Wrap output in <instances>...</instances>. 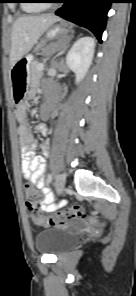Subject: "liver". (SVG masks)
I'll return each mask as SVG.
<instances>
[{
  "label": "liver",
  "mask_w": 136,
  "mask_h": 296,
  "mask_svg": "<svg viewBox=\"0 0 136 296\" xmlns=\"http://www.w3.org/2000/svg\"><path fill=\"white\" fill-rule=\"evenodd\" d=\"M59 17L52 14L23 15L16 19L11 33L10 65L13 67L37 43L42 34Z\"/></svg>",
  "instance_id": "liver-1"
}]
</instances>
